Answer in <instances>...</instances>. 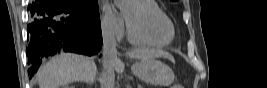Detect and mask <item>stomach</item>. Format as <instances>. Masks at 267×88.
I'll return each mask as SVG.
<instances>
[{
	"label": "stomach",
	"mask_w": 267,
	"mask_h": 88,
	"mask_svg": "<svg viewBox=\"0 0 267 88\" xmlns=\"http://www.w3.org/2000/svg\"><path fill=\"white\" fill-rule=\"evenodd\" d=\"M133 74L146 83L168 86L173 82L172 70L156 59H141L132 66Z\"/></svg>",
	"instance_id": "obj_1"
}]
</instances>
